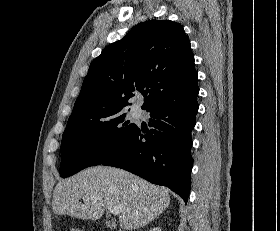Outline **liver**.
I'll list each match as a JSON object with an SVG mask.
<instances>
[{
  "label": "liver",
  "instance_id": "1",
  "mask_svg": "<svg viewBox=\"0 0 280 231\" xmlns=\"http://www.w3.org/2000/svg\"><path fill=\"white\" fill-rule=\"evenodd\" d=\"M169 203L165 187H157L124 169L97 165L60 179L55 185L52 209L58 215L99 219L105 209L121 207V227L137 229L163 213Z\"/></svg>",
  "mask_w": 280,
  "mask_h": 231
}]
</instances>
